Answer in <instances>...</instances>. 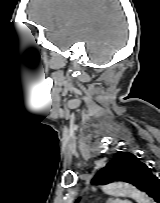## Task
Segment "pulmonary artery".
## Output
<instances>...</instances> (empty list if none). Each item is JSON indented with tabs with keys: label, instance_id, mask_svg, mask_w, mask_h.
Wrapping results in <instances>:
<instances>
[{
	"label": "pulmonary artery",
	"instance_id": "1",
	"mask_svg": "<svg viewBox=\"0 0 160 203\" xmlns=\"http://www.w3.org/2000/svg\"><path fill=\"white\" fill-rule=\"evenodd\" d=\"M115 203H132L130 200H117Z\"/></svg>",
	"mask_w": 160,
	"mask_h": 203
}]
</instances>
